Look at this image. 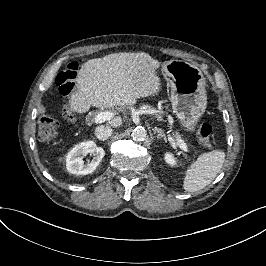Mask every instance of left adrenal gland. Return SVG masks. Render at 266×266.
<instances>
[{
    "instance_id": "a2214340",
    "label": "left adrenal gland",
    "mask_w": 266,
    "mask_h": 266,
    "mask_svg": "<svg viewBox=\"0 0 266 266\" xmlns=\"http://www.w3.org/2000/svg\"><path fill=\"white\" fill-rule=\"evenodd\" d=\"M154 132H157V138H163L165 142H167V138L166 135L164 133V131L161 128H157L155 127L153 129Z\"/></svg>"
}]
</instances>
